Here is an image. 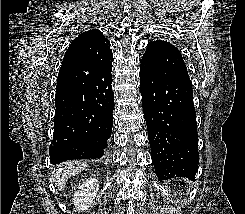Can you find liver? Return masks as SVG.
Segmentation results:
<instances>
[{"label": "liver", "mask_w": 245, "mask_h": 214, "mask_svg": "<svg viewBox=\"0 0 245 214\" xmlns=\"http://www.w3.org/2000/svg\"><path fill=\"white\" fill-rule=\"evenodd\" d=\"M87 167L86 162L69 161L62 163L56 167L52 174V182L59 191L65 188V185L72 176L81 173Z\"/></svg>", "instance_id": "1"}]
</instances>
